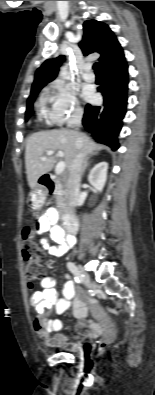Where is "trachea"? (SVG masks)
I'll return each mask as SVG.
<instances>
[{
    "mask_svg": "<svg viewBox=\"0 0 155 395\" xmlns=\"http://www.w3.org/2000/svg\"><path fill=\"white\" fill-rule=\"evenodd\" d=\"M93 69H94V71H95L96 73H100V70H99V68H98V63H95V64L93 65Z\"/></svg>",
    "mask_w": 155,
    "mask_h": 395,
    "instance_id": "3493384b",
    "label": "trachea"
}]
</instances>
